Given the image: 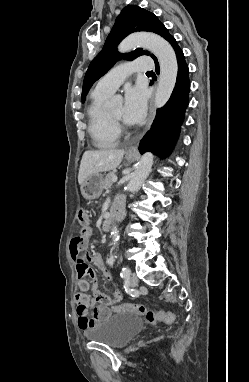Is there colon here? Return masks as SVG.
<instances>
[{
  "mask_svg": "<svg viewBox=\"0 0 249 382\" xmlns=\"http://www.w3.org/2000/svg\"><path fill=\"white\" fill-rule=\"evenodd\" d=\"M77 219L79 224L82 227V230L88 228L90 224V213L86 209H80L77 214ZM83 238H80L76 241H81ZM84 249L85 247L79 248ZM76 269L78 275L76 276L77 282H82L83 278L87 277L89 282H95L97 280L96 273L94 269H90L88 266V261L83 259H78L76 262ZM94 295L96 301L103 306H107L112 308L114 312H122V311H132L141 316L150 324H155L158 322L163 323H173L175 321V315L168 312H154L143 305L140 304H130V303H122L119 295L110 296L108 294L99 292L98 290H94Z\"/></svg>",
  "mask_w": 249,
  "mask_h": 382,
  "instance_id": "colon-1",
  "label": "colon"
}]
</instances>
